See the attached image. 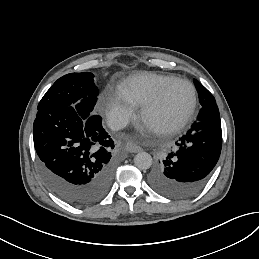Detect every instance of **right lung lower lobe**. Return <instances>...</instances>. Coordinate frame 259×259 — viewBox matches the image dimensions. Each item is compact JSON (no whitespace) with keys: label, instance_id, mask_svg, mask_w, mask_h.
Listing matches in <instances>:
<instances>
[{"label":"right lung lower lobe","instance_id":"1","mask_svg":"<svg viewBox=\"0 0 259 259\" xmlns=\"http://www.w3.org/2000/svg\"><path fill=\"white\" fill-rule=\"evenodd\" d=\"M33 139L41 175L63 201L84 207L108 192L115 170L114 142L101 116L85 117L72 106L38 110Z\"/></svg>","mask_w":259,"mask_h":259}]
</instances>
